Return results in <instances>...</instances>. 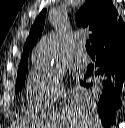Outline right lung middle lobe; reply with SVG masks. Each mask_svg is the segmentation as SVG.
Instances as JSON below:
<instances>
[{
    "label": "right lung middle lobe",
    "instance_id": "dd1d6c3e",
    "mask_svg": "<svg viewBox=\"0 0 125 128\" xmlns=\"http://www.w3.org/2000/svg\"><path fill=\"white\" fill-rule=\"evenodd\" d=\"M27 68L17 73V81L15 87V93H18L24 84Z\"/></svg>",
    "mask_w": 125,
    "mask_h": 128
}]
</instances>
